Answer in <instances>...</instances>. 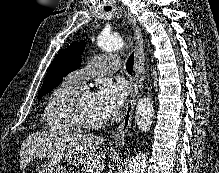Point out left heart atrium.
<instances>
[{
  "instance_id": "left-heart-atrium-1",
  "label": "left heart atrium",
  "mask_w": 219,
  "mask_h": 173,
  "mask_svg": "<svg viewBox=\"0 0 219 173\" xmlns=\"http://www.w3.org/2000/svg\"><path fill=\"white\" fill-rule=\"evenodd\" d=\"M128 95L125 83L105 81L95 94L97 110L103 120L115 116L122 109Z\"/></svg>"
}]
</instances>
